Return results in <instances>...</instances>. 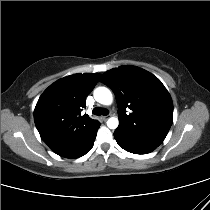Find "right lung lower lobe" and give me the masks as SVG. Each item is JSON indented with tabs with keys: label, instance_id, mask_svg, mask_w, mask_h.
Masks as SVG:
<instances>
[{
	"label": "right lung lower lobe",
	"instance_id": "right-lung-lower-lobe-1",
	"mask_svg": "<svg viewBox=\"0 0 210 210\" xmlns=\"http://www.w3.org/2000/svg\"><path fill=\"white\" fill-rule=\"evenodd\" d=\"M96 134H97V132L89 140H87L86 142L80 144L79 146L74 148L69 153L63 155L62 157H65V158H78V157H81V156L85 155L93 147L94 140L96 138Z\"/></svg>",
	"mask_w": 210,
	"mask_h": 210
}]
</instances>
